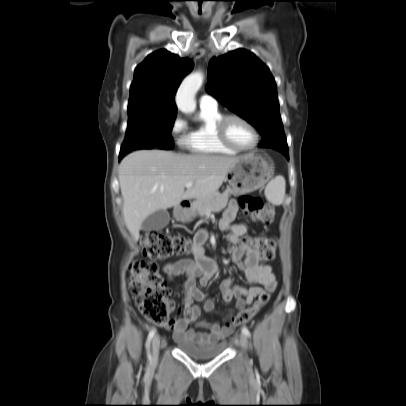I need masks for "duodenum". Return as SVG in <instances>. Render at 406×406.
<instances>
[{"label": "duodenum", "mask_w": 406, "mask_h": 406, "mask_svg": "<svg viewBox=\"0 0 406 406\" xmlns=\"http://www.w3.org/2000/svg\"><path fill=\"white\" fill-rule=\"evenodd\" d=\"M191 206V203H190V201H188V200H182L180 203H179V208L180 209H187V208H189Z\"/></svg>", "instance_id": "410a0bca"}]
</instances>
